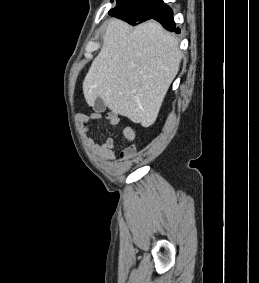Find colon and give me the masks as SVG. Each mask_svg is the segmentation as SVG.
I'll return each instance as SVG.
<instances>
[{
	"label": "colon",
	"instance_id": "1",
	"mask_svg": "<svg viewBox=\"0 0 259 283\" xmlns=\"http://www.w3.org/2000/svg\"><path fill=\"white\" fill-rule=\"evenodd\" d=\"M134 151H135L134 146H133V145H129V146L125 149V151H124V156H125L126 158L131 157V156L134 154Z\"/></svg>",
	"mask_w": 259,
	"mask_h": 283
}]
</instances>
